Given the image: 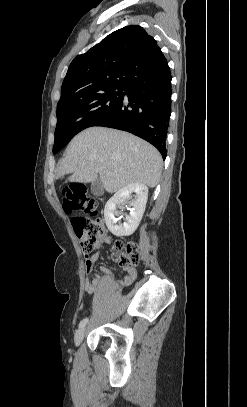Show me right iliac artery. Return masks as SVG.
Here are the masks:
<instances>
[{"label": "right iliac artery", "instance_id": "right-iliac-artery-1", "mask_svg": "<svg viewBox=\"0 0 247 407\" xmlns=\"http://www.w3.org/2000/svg\"><path fill=\"white\" fill-rule=\"evenodd\" d=\"M88 322V318L83 319L80 323H79V328H83L86 323Z\"/></svg>", "mask_w": 247, "mask_h": 407}]
</instances>
